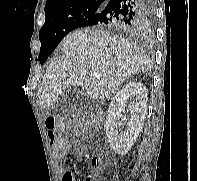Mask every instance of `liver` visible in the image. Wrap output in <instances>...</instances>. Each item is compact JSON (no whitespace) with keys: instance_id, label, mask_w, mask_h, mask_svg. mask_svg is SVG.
<instances>
[{"instance_id":"liver-1","label":"liver","mask_w":197,"mask_h":181,"mask_svg":"<svg viewBox=\"0 0 197 181\" xmlns=\"http://www.w3.org/2000/svg\"><path fill=\"white\" fill-rule=\"evenodd\" d=\"M59 48L65 55L52 59L46 68L37 100L41 108L54 105L75 84L88 97L104 100L128 76L152 67V61L134 42L102 30L74 31L62 40ZM84 71L98 73L99 77L83 75Z\"/></svg>"}]
</instances>
